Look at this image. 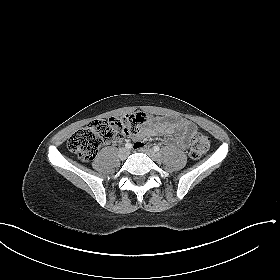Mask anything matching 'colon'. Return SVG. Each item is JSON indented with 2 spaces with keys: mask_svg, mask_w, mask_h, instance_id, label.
Masks as SVG:
<instances>
[{
  "mask_svg": "<svg viewBox=\"0 0 280 280\" xmlns=\"http://www.w3.org/2000/svg\"><path fill=\"white\" fill-rule=\"evenodd\" d=\"M150 121L145 113H135L122 118L96 120L86 127L77 130L68 140V149L82 162L94 159L98 149L113 140L123 139L136 134L140 127ZM137 148V146H135ZM209 148L206 135L196 132L191 137L189 155L199 159Z\"/></svg>",
  "mask_w": 280,
  "mask_h": 280,
  "instance_id": "5ec220e1",
  "label": "colon"
}]
</instances>
